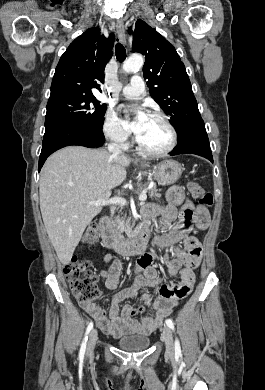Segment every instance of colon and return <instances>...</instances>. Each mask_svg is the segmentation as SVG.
<instances>
[{
  "label": "colon",
  "instance_id": "obj_1",
  "mask_svg": "<svg viewBox=\"0 0 265 390\" xmlns=\"http://www.w3.org/2000/svg\"><path fill=\"white\" fill-rule=\"evenodd\" d=\"M188 189L192 196L199 198V202L203 207L212 206L213 195L205 193L198 183L190 182ZM97 237L98 226L91 223L86 229L84 242L93 245L97 242ZM63 272L72 294L79 303H90L99 297L100 291L97 287L99 277L89 260H79L73 257L70 262L64 265Z\"/></svg>",
  "mask_w": 265,
  "mask_h": 390
}]
</instances>
